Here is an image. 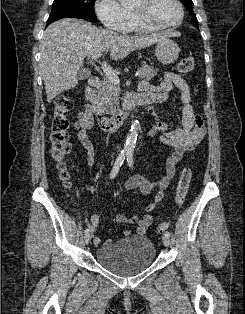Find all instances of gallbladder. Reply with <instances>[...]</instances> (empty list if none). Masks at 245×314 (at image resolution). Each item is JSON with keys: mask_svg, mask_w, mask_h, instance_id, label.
<instances>
[{"mask_svg": "<svg viewBox=\"0 0 245 314\" xmlns=\"http://www.w3.org/2000/svg\"><path fill=\"white\" fill-rule=\"evenodd\" d=\"M91 75V71L88 68H82L78 72V78L80 80H86Z\"/></svg>", "mask_w": 245, "mask_h": 314, "instance_id": "bac80fb5", "label": "gallbladder"}]
</instances>
